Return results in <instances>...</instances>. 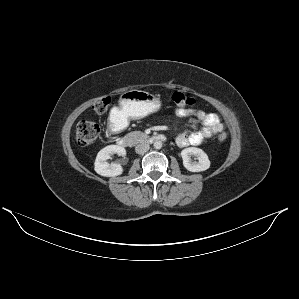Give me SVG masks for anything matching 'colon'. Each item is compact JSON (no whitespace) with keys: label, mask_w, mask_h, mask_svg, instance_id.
<instances>
[{"label":"colon","mask_w":299,"mask_h":299,"mask_svg":"<svg viewBox=\"0 0 299 299\" xmlns=\"http://www.w3.org/2000/svg\"><path fill=\"white\" fill-rule=\"evenodd\" d=\"M172 103L181 108L189 107L193 104V99L182 92H174L171 95ZM110 104V98H103L96 102L93 106V110L102 115L106 113ZM100 132L99 124L94 120H82L77 124L76 127V138L78 142L82 145H91L95 142ZM220 141H224L227 139V133L221 132L218 135Z\"/></svg>","instance_id":"5ec220e1"}]
</instances>
